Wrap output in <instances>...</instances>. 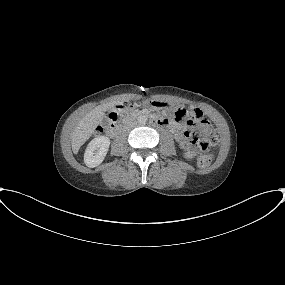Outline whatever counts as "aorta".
<instances>
[{
	"label": "aorta",
	"instance_id": "obj_1",
	"mask_svg": "<svg viewBox=\"0 0 285 285\" xmlns=\"http://www.w3.org/2000/svg\"><path fill=\"white\" fill-rule=\"evenodd\" d=\"M147 116H145V115H140L139 117H138V123L139 124H145L146 122H147Z\"/></svg>",
	"mask_w": 285,
	"mask_h": 285
}]
</instances>
